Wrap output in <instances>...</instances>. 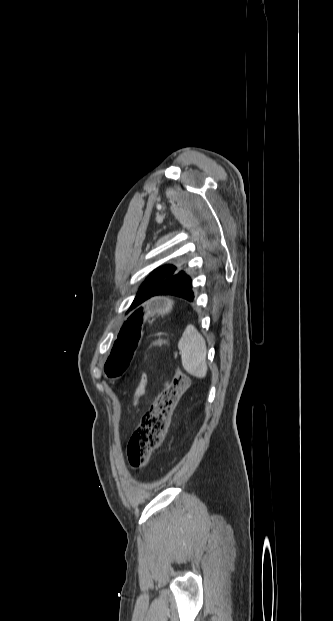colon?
<instances>
[{"label": "colon", "mask_w": 333, "mask_h": 621, "mask_svg": "<svg viewBox=\"0 0 333 621\" xmlns=\"http://www.w3.org/2000/svg\"><path fill=\"white\" fill-rule=\"evenodd\" d=\"M189 386V377L177 368L173 381L144 414L127 445V458L133 469L147 465L151 454L163 440L176 405Z\"/></svg>", "instance_id": "5ec220e1"}]
</instances>
